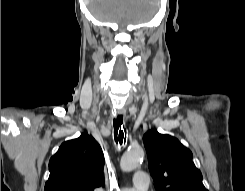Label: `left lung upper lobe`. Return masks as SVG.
I'll return each instance as SVG.
<instances>
[{
    "instance_id": "1",
    "label": "left lung upper lobe",
    "mask_w": 245,
    "mask_h": 191,
    "mask_svg": "<svg viewBox=\"0 0 245 191\" xmlns=\"http://www.w3.org/2000/svg\"><path fill=\"white\" fill-rule=\"evenodd\" d=\"M143 141L157 191H208L192 152L177 138L150 130Z\"/></svg>"
}]
</instances>
